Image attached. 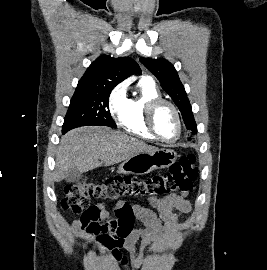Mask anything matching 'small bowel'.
<instances>
[{
  "instance_id": "small-bowel-1",
  "label": "small bowel",
  "mask_w": 267,
  "mask_h": 270,
  "mask_svg": "<svg viewBox=\"0 0 267 270\" xmlns=\"http://www.w3.org/2000/svg\"><path fill=\"white\" fill-rule=\"evenodd\" d=\"M187 193L151 201L155 210L120 201L115 207V217L110 216L103 204H96L92 207L93 212L75 220L72 227L76 231L96 236L100 243L112 249V257L117 261L122 258L119 250L123 247L131 255L133 270H140L145 262L146 248L164 240L181 228V222L173 212L177 210L183 214L190 213L191 204L186 198ZM136 219L141 221L144 227L132 231ZM137 241L140 245L135 254L134 246Z\"/></svg>"
}]
</instances>
